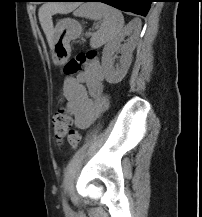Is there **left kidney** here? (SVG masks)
Returning a JSON list of instances; mask_svg holds the SVG:
<instances>
[{
  "mask_svg": "<svg viewBox=\"0 0 202 217\" xmlns=\"http://www.w3.org/2000/svg\"><path fill=\"white\" fill-rule=\"evenodd\" d=\"M134 30V35L123 46L121 42L126 35H130ZM140 28L130 23L121 33L109 41L102 52V67L104 70L106 81L110 84H117L122 81L128 72L132 62V52L135 48V38L139 34ZM121 51L120 65L113 67L114 54Z\"/></svg>",
  "mask_w": 202,
  "mask_h": 217,
  "instance_id": "obj_1",
  "label": "left kidney"
}]
</instances>
